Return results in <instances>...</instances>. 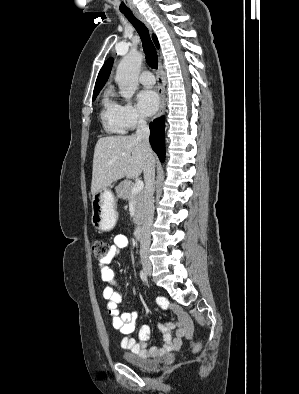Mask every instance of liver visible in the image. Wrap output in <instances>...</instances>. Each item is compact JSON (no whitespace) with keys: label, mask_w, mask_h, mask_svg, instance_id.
<instances>
[{"label":"liver","mask_w":299,"mask_h":394,"mask_svg":"<svg viewBox=\"0 0 299 394\" xmlns=\"http://www.w3.org/2000/svg\"><path fill=\"white\" fill-rule=\"evenodd\" d=\"M149 156L154 158V153L148 152L134 135L100 138L93 157L92 195L124 177L140 176Z\"/></svg>","instance_id":"1"}]
</instances>
